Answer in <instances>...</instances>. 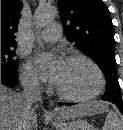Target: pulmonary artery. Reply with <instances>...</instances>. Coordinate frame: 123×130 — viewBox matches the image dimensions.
<instances>
[{"label": "pulmonary artery", "mask_w": 123, "mask_h": 130, "mask_svg": "<svg viewBox=\"0 0 123 130\" xmlns=\"http://www.w3.org/2000/svg\"><path fill=\"white\" fill-rule=\"evenodd\" d=\"M60 36V26L57 24H52L41 32V34L39 35V39L47 43H54L59 40Z\"/></svg>", "instance_id": "obj_1"}]
</instances>
